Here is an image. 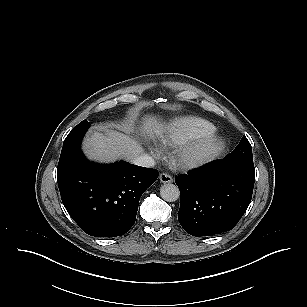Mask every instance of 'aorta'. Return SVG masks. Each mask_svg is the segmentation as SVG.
<instances>
[{"instance_id": "obj_1", "label": "aorta", "mask_w": 307, "mask_h": 307, "mask_svg": "<svg viewBox=\"0 0 307 307\" xmlns=\"http://www.w3.org/2000/svg\"><path fill=\"white\" fill-rule=\"evenodd\" d=\"M160 195L167 202H175L180 197V191L176 185L167 183L161 186Z\"/></svg>"}]
</instances>
